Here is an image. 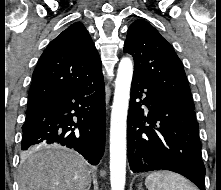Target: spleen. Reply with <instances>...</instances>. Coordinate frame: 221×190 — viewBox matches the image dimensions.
Listing matches in <instances>:
<instances>
[{
  "instance_id": "3e777b00",
  "label": "spleen",
  "mask_w": 221,
  "mask_h": 190,
  "mask_svg": "<svg viewBox=\"0 0 221 190\" xmlns=\"http://www.w3.org/2000/svg\"><path fill=\"white\" fill-rule=\"evenodd\" d=\"M145 185L148 190H198L184 177L169 171H156L149 174Z\"/></svg>"
}]
</instances>
